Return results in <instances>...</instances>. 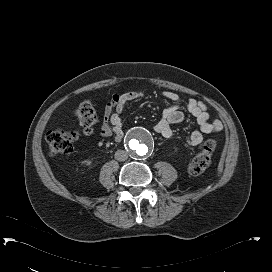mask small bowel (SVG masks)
I'll return each mask as SVG.
<instances>
[{
	"label": "small bowel",
	"mask_w": 272,
	"mask_h": 272,
	"mask_svg": "<svg viewBox=\"0 0 272 272\" xmlns=\"http://www.w3.org/2000/svg\"><path fill=\"white\" fill-rule=\"evenodd\" d=\"M162 96L165 99L173 101L174 104L163 110L161 120L155 125V132L164 138H169L172 135L171 126L183 122L185 116L180 111L181 99L176 93L166 91ZM143 97L144 93L141 91H131L113 95L111 101L105 108L102 135L114 136L115 140L120 142L123 139L120 114L124 106L130 101ZM186 105L188 112L196 119L199 125V129L191 133L188 139L189 145L197 146L203 142L204 135L222 130L223 125L221 121L214 120L210 122V115L205 103L195 98H189Z\"/></svg>",
	"instance_id": "c3829d8e"
}]
</instances>
